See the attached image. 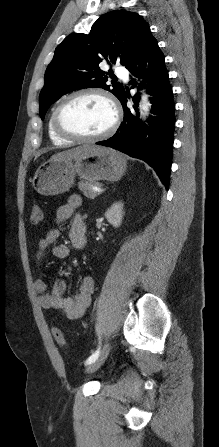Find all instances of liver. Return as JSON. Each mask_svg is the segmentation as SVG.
I'll return each instance as SVG.
<instances>
[{"instance_id": "obj_1", "label": "liver", "mask_w": 219, "mask_h": 447, "mask_svg": "<svg viewBox=\"0 0 219 447\" xmlns=\"http://www.w3.org/2000/svg\"><path fill=\"white\" fill-rule=\"evenodd\" d=\"M102 147H97L93 145H82L72 149H68L59 153L54 154L51 160L63 161V160H77L89 156L92 153L99 151Z\"/></svg>"}]
</instances>
